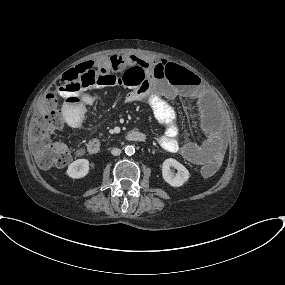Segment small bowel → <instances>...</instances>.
I'll list each match as a JSON object with an SVG mask.
<instances>
[{
    "label": "small bowel",
    "instance_id": "small-bowel-1",
    "mask_svg": "<svg viewBox=\"0 0 285 285\" xmlns=\"http://www.w3.org/2000/svg\"><path fill=\"white\" fill-rule=\"evenodd\" d=\"M142 61L143 67L149 77V84L144 91H129L125 99L129 103L146 101L153 113L155 120L164 126L163 132L158 136V143L166 151L176 154H183L189 161L206 165L218 155L223 154L224 143L219 129L212 123L203 125L205 138L202 142L193 139L187 140L184 144L180 141L179 128L176 123V114L172 106L163 99L157 88L169 86L173 95L179 94V86L191 85L194 80V73L189 69L174 65L175 69L181 71V75L173 77L170 83L158 77L156 67L148 61ZM138 60L131 56H125L121 62L122 66L136 64ZM61 83V96L64 99L63 114L68 126L78 128L81 126V119H87L89 107L98 101V94L104 87H113L117 84L97 79L93 84L84 88L65 89V83ZM74 86V85H73Z\"/></svg>",
    "mask_w": 285,
    "mask_h": 285
}]
</instances>
